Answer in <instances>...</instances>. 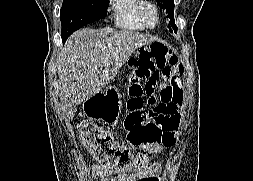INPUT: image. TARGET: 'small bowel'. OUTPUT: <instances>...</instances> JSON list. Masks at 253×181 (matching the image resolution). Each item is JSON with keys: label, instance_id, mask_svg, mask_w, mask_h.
Instances as JSON below:
<instances>
[{"label": "small bowel", "instance_id": "c3829d8e", "mask_svg": "<svg viewBox=\"0 0 253 181\" xmlns=\"http://www.w3.org/2000/svg\"><path fill=\"white\" fill-rule=\"evenodd\" d=\"M132 67L140 80H144L143 89L145 93H156L163 91L167 93L173 100L176 95H179L182 100V93L180 88V75L173 69L168 67H159L153 56L149 53H139L133 58ZM178 77L176 84L173 83V78ZM180 102L175 100L170 105L171 114L178 118L177 126L179 124V105ZM176 126V127H177ZM173 137L176 134V128L172 132ZM95 174L102 178H107L108 174L96 165L92 166ZM160 166L151 165L135 174H124L116 177L114 181H157Z\"/></svg>", "mask_w": 253, "mask_h": 181}]
</instances>
